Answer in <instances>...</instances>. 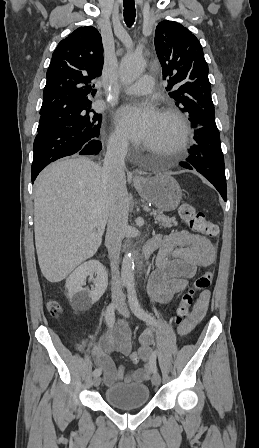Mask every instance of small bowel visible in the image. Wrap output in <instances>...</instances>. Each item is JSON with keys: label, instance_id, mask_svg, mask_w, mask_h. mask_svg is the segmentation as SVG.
I'll use <instances>...</instances> for the list:
<instances>
[{"label": "small bowel", "instance_id": "small-bowel-1", "mask_svg": "<svg viewBox=\"0 0 259 448\" xmlns=\"http://www.w3.org/2000/svg\"><path fill=\"white\" fill-rule=\"evenodd\" d=\"M152 242L159 251L156 269L148 281V292L152 300L158 304H165L176 294L183 292L189 280L196 275L197 269L211 265L216 257L215 248L209 239L188 231L157 236ZM209 299V291L204 290L200 293L189 320L177 328L180 335L189 334L203 320ZM151 341L150 332L147 331L141 336L139 355L144 366L126 373L123 366L114 365L111 354L116 352L128 356L131 353V330L127 321L120 320L114 329L103 334L98 344L92 347L91 354L95 357V364L103 370L104 383L111 385L121 380L127 383L148 380L155 368L150 350Z\"/></svg>", "mask_w": 259, "mask_h": 448}]
</instances>
